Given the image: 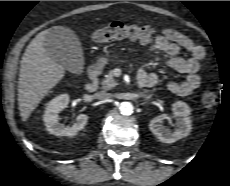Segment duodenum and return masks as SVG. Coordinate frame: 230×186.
Masks as SVG:
<instances>
[{
	"label": "duodenum",
	"instance_id": "1",
	"mask_svg": "<svg viewBox=\"0 0 230 186\" xmlns=\"http://www.w3.org/2000/svg\"><path fill=\"white\" fill-rule=\"evenodd\" d=\"M102 73V67L99 64L91 65L88 69V74L90 77V81L85 85V89L89 93H93L97 91L99 86V77ZM139 87L145 88L149 87L150 84L147 81L139 80Z\"/></svg>",
	"mask_w": 230,
	"mask_h": 186
}]
</instances>
